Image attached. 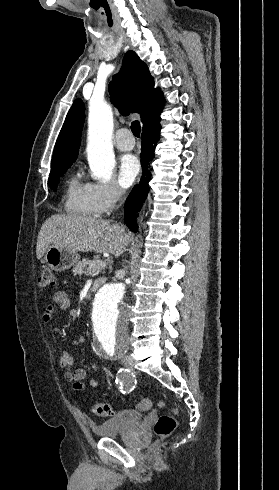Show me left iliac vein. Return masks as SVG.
<instances>
[{"mask_svg": "<svg viewBox=\"0 0 279 490\" xmlns=\"http://www.w3.org/2000/svg\"><path fill=\"white\" fill-rule=\"evenodd\" d=\"M115 359H116L117 361H120V360L122 359V356H121L120 354H117V355L115 356Z\"/></svg>", "mask_w": 279, "mask_h": 490, "instance_id": "obj_1", "label": "left iliac vein"}]
</instances>
